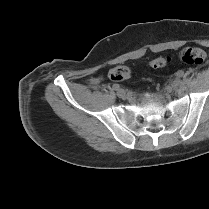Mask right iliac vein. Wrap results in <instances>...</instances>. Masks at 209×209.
Segmentation results:
<instances>
[{
    "instance_id": "right-iliac-vein-1",
    "label": "right iliac vein",
    "mask_w": 209,
    "mask_h": 209,
    "mask_svg": "<svg viewBox=\"0 0 209 209\" xmlns=\"http://www.w3.org/2000/svg\"><path fill=\"white\" fill-rule=\"evenodd\" d=\"M117 96L120 98H125L126 97V92L123 89H119L117 91Z\"/></svg>"
}]
</instances>
